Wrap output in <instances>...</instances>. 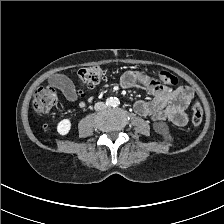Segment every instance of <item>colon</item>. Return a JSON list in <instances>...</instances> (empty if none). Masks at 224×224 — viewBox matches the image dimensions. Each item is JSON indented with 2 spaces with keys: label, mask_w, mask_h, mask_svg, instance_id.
Masks as SVG:
<instances>
[{
  "label": "colon",
  "mask_w": 224,
  "mask_h": 224,
  "mask_svg": "<svg viewBox=\"0 0 224 224\" xmlns=\"http://www.w3.org/2000/svg\"><path fill=\"white\" fill-rule=\"evenodd\" d=\"M104 75V69L97 65L86 66L79 70L80 79L89 86L99 83ZM158 76L164 83L171 85L177 83L176 77L167 71H159ZM57 101L58 95L56 89L51 86H42L37 89L34 95L33 106L38 114L45 115L57 104ZM202 119V105L198 99H195L192 104V124L197 126L201 124Z\"/></svg>",
  "instance_id": "1"
}]
</instances>
